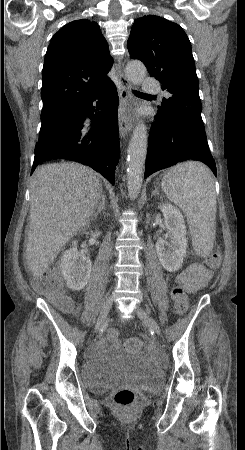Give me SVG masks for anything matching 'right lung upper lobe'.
<instances>
[{
  "mask_svg": "<svg viewBox=\"0 0 245 450\" xmlns=\"http://www.w3.org/2000/svg\"><path fill=\"white\" fill-rule=\"evenodd\" d=\"M113 64L108 44L96 22L76 20L51 39L43 66L42 112L62 110L110 78Z\"/></svg>",
  "mask_w": 245,
  "mask_h": 450,
  "instance_id": "1",
  "label": "right lung upper lobe"
}]
</instances>
